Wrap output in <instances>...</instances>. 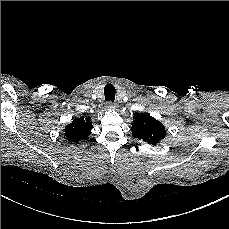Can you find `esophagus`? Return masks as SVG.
I'll list each match as a JSON object with an SVG mask.
<instances>
[{
  "label": "esophagus",
  "instance_id": "34e87169",
  "mask_svg": "<svg viewBox=\"0 0 229 229\" xmlns=\"http://www.w3.org/2000/svg\"><path fill=\"white\" fill-rule=\"evenodd\" d=\"M106 108H107V109H117V104H116V103H113V102H111V101H108V102L106 103Z\"/></svg>",
  "mask_w": 229,
  "mask_h": 229
}]
</instances>
